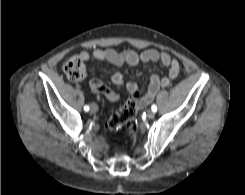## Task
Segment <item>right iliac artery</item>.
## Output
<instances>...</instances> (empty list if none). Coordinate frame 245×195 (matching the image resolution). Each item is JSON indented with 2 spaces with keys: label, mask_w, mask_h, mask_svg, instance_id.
I'll return each mask as SVG.
<instances>
[{
  "label": "right iliac artery",
  "mask_w": 245,
  "mask_h": 195,
  "mask_svg": "<svg viewBox=\"0 0 245 195\" xmlns=\"http://www.w3.org/2000/svg\"><path fill=\"white\" fill-rule=\"evenodd\" d=\"M89 109H90L89 106H87V105L84 106V111L88 112Z\"/></svg>",
  "instance_id": "right-iliac-artery-1"
}]
</instances>
